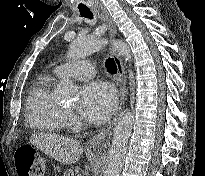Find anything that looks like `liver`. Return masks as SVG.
I'll use <instances>...</instances> for the list:
<instances>
[{"label":"liver","instance_id":"obj_1","mask_svg":"<svg viewBox=\"0 0 205 176\" xmlns=\"http://www.w3.org/2000/svg\"><path fill=\"white\" fill-rule=\"evenodd\" d=\"M30 142L46 155L63 164L77 162L83 153V146L79 141L56 134H34L30 137Z\"/></svg>","mask_w":205,"mask_h":176}]
</instances>
